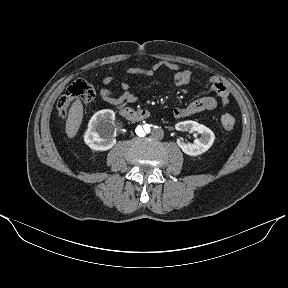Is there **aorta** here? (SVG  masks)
Listing matches in <instances>:
<instances>
[{
  "mask_svg": "<svg viewBox=\"0 0 288 288\" xmlns=\"http://www.w3.org/2000/svg\"><path fill=\"white\" fill-rule=\"evenodd\" d=\"M150 131H151V126L147 122H142V123L138 124L136 127V132L140 136H145V135L149 134Z\"/></svg>",
  "mask_w": 288,
  "mask_h": 288,
  "instance_id": "762f6f07",
  "label": "aorta"
}]
</instances>
